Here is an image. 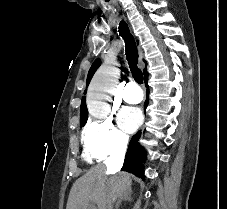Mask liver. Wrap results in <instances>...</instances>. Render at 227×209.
I'll return each mask as SVG.
<instances>
[{
	"instance_id": "obj_1",
	"label": "liver",
	"mask_w": 227,
	"mask_h": 209,
	"mask_svg": "<svg viewBox=\"0 0 227 209\" xmlns=\"http://www.w3.org/2000/svg\"><path fill=\"white\" fill-rule=\"evenodd\" d=\"M131 185L129 173H120L118 177H107L104 165H97L74 183L66 209H87V203H96L104 207L108 203L107 191H109V199L115 201L117 197L130 193Z\"/></svg>"
}]
</instances>
